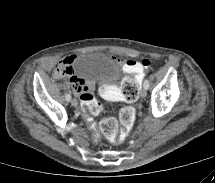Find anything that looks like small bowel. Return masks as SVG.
I'll return each mask as SVG.
<instances>
[{"instance_id":"1","label":"small bowel","mask_w":215,"mask_h":183,"mask_svg":"<svg viewBox=\"0 0 215 183\" xmlns=\"http://www.w3.org/2000/svg\"><path fill=\"white\" fill-rule=\"evenodd\" d=\"M76 58H77L76 55H68L60 61L58 67L63 65L69 69V73L67 75L71 76L70 80H71L73 90L75 91V93L81 96L84 93H90L89 91L93 89V84L74 74L73 64ZM118 61L124 66V68L128 72L134 74L136 78L139 80V82L142 81V79L144 78V71L146 68L143 65H141L140 62L126 61L123 58H118ZM54 74L58 76L57 69L54 71ZM58 77H61V76H58ZM94 91L96 95L104 99H110V100L121 99V96L115 93V88L113 84L105 80H100L96 82L94 86Z\"/></svg>"}]
</instances>
